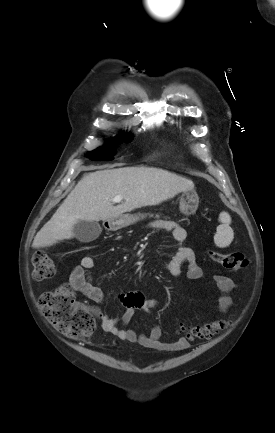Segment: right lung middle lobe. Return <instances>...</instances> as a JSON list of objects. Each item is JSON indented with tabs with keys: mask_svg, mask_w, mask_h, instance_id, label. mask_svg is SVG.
<instances>
[{
	"mask_svg": "<svg viewBox=\"0 0 275 433\" xmlns=\"http://www.w3.org/2000/svg\"><path fill=\"white\" fill-rule=\"evenodd\" d=\"M130 137H126L125 141H128ZM122 140H117L115 143H120ZM115 147L114 143H108L104 147H100L92 152H89L87 156L94 161H102V160H112L113 155L111 153V150Z\"/></svg>",
	"mask_w": 275,
	"mask_h": 433,
	"instance_id": "1",
	"label": "right lung middle lobe"
}]
</instances>
